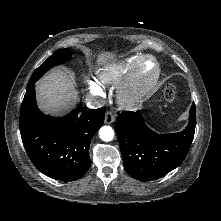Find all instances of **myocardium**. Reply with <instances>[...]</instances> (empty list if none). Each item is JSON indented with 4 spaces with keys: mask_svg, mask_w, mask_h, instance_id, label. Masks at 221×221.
Wrapping results in <instances>:
<instances>
[{
    "mask_svg": "<svg viewBox=\"0 0 221 221\" xmlns=\"http://www.w3.org/2000/svg\"><path fill=\"white\" fill-rule=\"evenodd\" d=\"M146 61H152L154 64V74L149 79H143L141 68ZM161 74V67L158 60L151 55H143L135 63L126 80L121 87L118 100L124 107H133L146 94H148L157 84Z\"/></svg>",
    "mask_w": 221,
    "mask_h": 221,
    "instance_id": "f54148a6",
    "label": "myocardium"
}]
</instances>
